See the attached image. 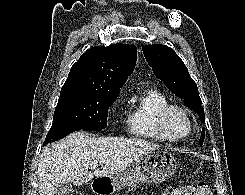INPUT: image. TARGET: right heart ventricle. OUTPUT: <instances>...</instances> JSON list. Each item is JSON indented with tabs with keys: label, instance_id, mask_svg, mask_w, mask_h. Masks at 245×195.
Segmentation results:
<instances>
[{
	"label": "right heart ventricle",
	"instance_id": "e07e8e85",
	"mask_svg": "<svg viewBox=\"0 0 245 195\" xmlns=\"http://www.w3.org/2000/svg\"><path fill=\"white\" fill-rule=\"evenodd\" d=\"M168 104V98L160 91H142L126 108L128 134L141 139L166 140L156 126V116L158 111Z\"/></svg>",
	"mask_w": 245,
	"mask_h": 195
}]
</instances>
